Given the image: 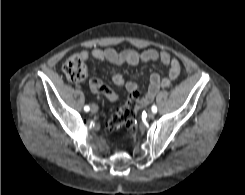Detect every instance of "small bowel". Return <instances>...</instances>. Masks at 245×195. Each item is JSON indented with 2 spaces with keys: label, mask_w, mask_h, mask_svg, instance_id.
Instances as JSON below:
<instances>
[{
  "label": "small bowel",
  "mask_w": 245,
  "mask_h": 195,
  "mask_svg": "<svg viewBox=\"0 0 245 195\" xmlns=\"http://www.w3.org/2000/svg\"><path fill=\"white\" fill-rule=\"evenodd\" d=\"M79 56L83 60L93 58L99 61H107L116 66H122L124 64L135 66L139 62L158 61L164 66L168 67L167 77H163L157 72L151 75L148 91L143 99L144 104L150 103L158 91L161 88L168 87L174 80L179 77L181 72V65L179 61L176 58H172L171 55L165 50L157 51L155 49H146L142 52H137L135 50L119 52L112 48H92L82 50L79 53ZM112 82L117 86L124 87L131 94L138 92L137 84L133 81H126L123 75L120 73L113 74ZM90 89L94 93L102 94L110 101H116L118 99V95L97 78L91 79Z\"/></svg>",
  "instance_id": "small-bowel-1"
}]
</instances>
